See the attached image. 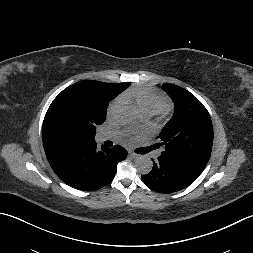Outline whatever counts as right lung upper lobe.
<instances>
[{
  "label": "right lung upper lobe",
  "instance_id": "right-lung-upper-lobe-1",
  "mask_svg": "<svg viewBox=\"0 0 253 253\" xmlns=\"http://www.w3.org/2000/svg\"><path fill=\"white\" fill-rule=\"evenodd\" d=\"M99 83H101V82H99V81H90V80H83V81L77 82V83H75L73 85L74 86H83V87L90 88V87H93V86H95V85H97ZM43 145H44V150H45L46 155L50 154L52 151H55V150H58V149H63L61 147L49 145V144H46V143H43Z\"/></svg>",
  "mask_w": 253,
  "mask_h": 253
}]
</instances>
